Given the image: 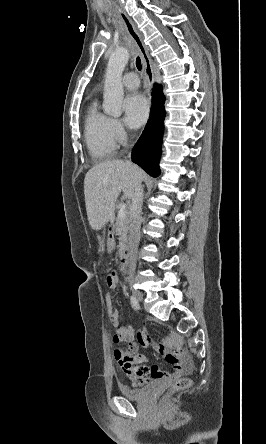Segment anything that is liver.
I'll list each match as a JSON object with an SVG mask.
<instances>
[{"label": "liver", "instance_id": "obj_1", "mask_svg": "<svg viewBox=\"0 0 266 444\" xmlns=\"http://www.w3.org/2000/svg\"><path fill=\"white\" fill-rule=\"evenodd\" d=\"M144 177L143 170L130 161L112 160L93 166L84 179V195L89 224L99 231L115 217L118 195L123 191L131 199ZM101 251L104 244L97 235Z\"/></svg>", "mask_w": 266, "mask_h": 444}]
</instances>
